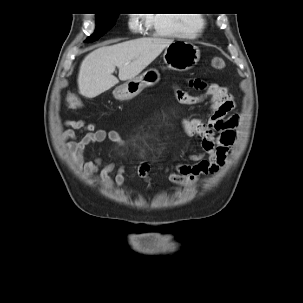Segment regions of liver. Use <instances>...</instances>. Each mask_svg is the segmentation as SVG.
Segmentation results:
<instances>
[{
	"label": "liver",
	"instance_id": "6515ba94",
	"mask_svg": "<svg viewBox=\"0 0 303 303\" xmlns=\"http://www.w3.org/2000/svg\"><path fill=\"white\" fill-rule=\"evenodd\" d=\"M173 41L159 37H143L102 46L89 53L82 61L78 74L79 93L94 98L107 91L119 80L135 78ZM119 69V80L113 75Z\"/></svg>",
	"mask_w": 303,
	"mask_h": 303
}]
</instances>
